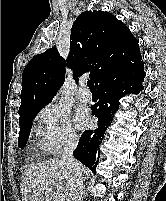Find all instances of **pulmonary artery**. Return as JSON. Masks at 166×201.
Masks as SVG:
<instances>
[{"mask_svg":"<svg viewBox=\"0 0 166 201\" xmlns=\"http://www.w3.org/2000/svg\"><path fill=\"white\" fill-rule=\"evenodd\" d=\"M77 96L80 101L88 103L92 100V95L89 89L86 86V83H81V86L77 92Z\"/></svg>","mask_w":166,"mask_h":201,"instance_id":"obj_1","label":"pulmonary artery"}]
</instances>
